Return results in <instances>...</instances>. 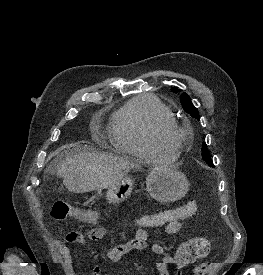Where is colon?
Masks as SVG:
<instances>
[{"label":"colon","instance_id":"obj_1","mask_svg":"<svg viewBox=\"0 0 263 275\" xmlns=\"http://www.w3.org/2000/svg\"><path fill=\"white\" fill-rule=\"evenodd\" d=\"M196 210L197 203L190 200L174 209L144 215L137 220V225L140 227L164 226L170 222L190 218ZM51 216L59 221L70 217L79 222L94 223L100 219V212L97 209L76 208L64 202H57L52 207ZM210 249L211 245L206 237H194L182 243L174 255V264L178 267V273L186 266L206 257ZM209 266L210 263L199 264L195 267L193 275H206Z\"/></svg>","mask_w":263,"mask_h":275}]
</instances>
